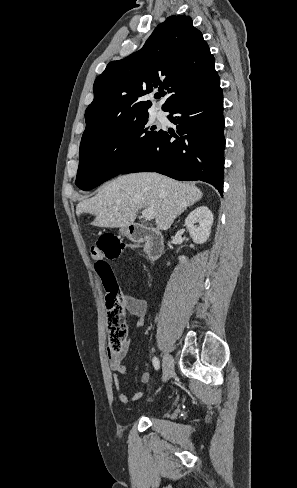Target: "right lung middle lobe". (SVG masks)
Returning <instances> with one entry per match:
<instances>
[{
    "instance_id": "right-lung-middle-lobe-1",
    "label": "right lung middle lobe",
    "mask_w": 297,
    "mask_h": 488,
    "mask_svg": "<svg viewBox=\"0 0 297 488\" xmlns=\"http://www.w3.org/2000/svg\"><path fill=\"white\" fill-rule=\"evenodd\" d=\"M147 122L144 116L107 134L83 138L75 184L91 190L135 162L161 131L147 127Z\"/></svg>"
}]
</instances>
